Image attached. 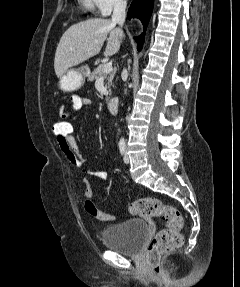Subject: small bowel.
<instances>
[{
    "label": "small bowel",
    "mask_w": 240,
    "mask_h": 287,
    "mask_svg": "<svg viewBox=\"0 0 240 287\" xmlns=\"http://www.w3.org/2000/svg\"><path fill=\"white\" fill-rule=\"evenodd\" d=\"M90 104L91 100L89 98L82 97L78 94H73L70 97L69 105L63 104L60 107V117L67 120L70 119L73 129L69 139H67L66 141L57 140V143L61 152L64 154L69 163L75 167L80 168L83 174L101 180H106L108 178L107 171H94L85 168L86 162L79 150L78 137L74 133V122L77 119V113L81 110V108L87 107Z\"/></svg>",
    "instance_id": "obj_1"
}]
</instances>
